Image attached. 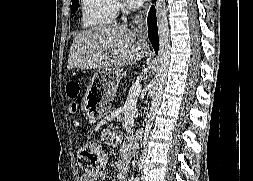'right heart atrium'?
Masks as SVG:
<instances>
[{
  "instance_id": "obj_1",
  "label": "right heart atrium",
  "mask_w": 253,
  "mask_h": 181,
  "mask_svg": "<svg viewBox=\"0 0 253 181\" xmlns=\"http://www.w3.org/2000/svg\"><path fill=\"white\" fill-rule=\"evenodd\" d=\"M116 7H117L118 9H121V10H122V8H123V7H122V4L119 3V2L116 3Z\"/></svg>"
}]
</instances>
